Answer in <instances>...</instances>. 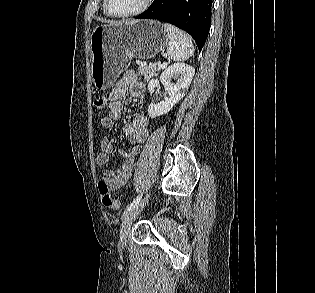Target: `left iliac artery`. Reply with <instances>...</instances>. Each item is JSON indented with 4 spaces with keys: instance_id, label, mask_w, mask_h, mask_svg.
Wrapping results in <instances>:
<instances>
[{
    "instance_id": "1",
    "label": "left iliac artery",
    "mask_w": 315,
    "mask_h": 293,
    "mask_svg": "<svg viewBox=\"0 0 315 293\" xmlns=\"http://www.w3.org/2000/svg\"><path fill=\"white\" fill-rule=\"evenodd\" d=\"M141 198H142V194L138 195V196L133 200V202L130 203V205H128L127 211H129L130 209H132L133 207H135V206L139 203V201L141 200Z\"/></svg>"
}]
</instances>
